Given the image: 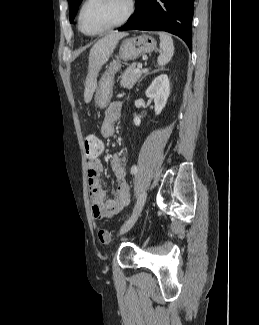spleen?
<instances>
[{
  "label": "spleen",
  "mask_w": 259,
  "mask_h": 325,
  "mask_svg": "<svg viewBox=\"0 0 259 325\" xmlns=\"http://www.w3.org/2000/svg\"><path fill=\"white\" fill-rule=\"evenodd\" d=\"M160 37V55L158 56V64L160 66L166 65L174 54L173 39L166 33H159Z\"/></svg>",
  "instance_id": "spleen-1"
}]
</instances>
